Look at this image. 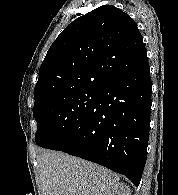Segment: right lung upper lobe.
<instances>
[{
  "mask_svg": "<svg viewBox=\"0 0 178 195\" xmlns=\"http://www.w3.org/2000/svg\"><path fill=\"white\" fill-rule=\"evenodd\" d=\"M147 63L142 35L130 16L112 5L98 7L69 24L49 48L34 107L58 95L99 90Z\"/></svg>",
  "mask_w": 178,
  "mask_h": 195,
  "instance_id": "right-lung-upper-lobe-1",
  "label": "right lung upper lobe"
}]
</instances>
